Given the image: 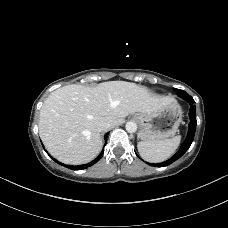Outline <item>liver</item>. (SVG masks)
I'll return each instance as SVG.
<instances>
[{"label": "liver", "mask_w": 228, "mask_h": 228, "mask_svg": "<svg viewBox=\"0 0 228 228\" xmlns=\"http://www.w3.org/2000/svg\"><path fill=\"white\" fill-rule=\"evenodd\" d=\"M170 100L152 94L143 86L126 81H108L96 87L67 85L52 92L39 117V135L49 153L66 164L93 160L103 142L97 126L124 123L129 114L152 113Z\"/></svg>", "instance_id": "6515ba94"}]
</instances>
